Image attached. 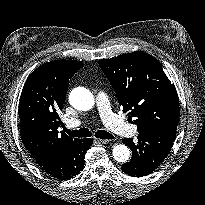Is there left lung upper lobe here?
Here are the masks:
<instances>
[{
    "instance_id": "obj_1",
    "label": "left lung upper lobe",
    "mask_w": 205,
    "mask_h": 205,
    "mask_svg": "<svg viewBox=\"0 0 205 205\" xmlns=\"http://www.w3.org/2000/svg\"><path fill=\"white\" fill-rule=\"evenodd\" d=\"M123 112L139 133L177 129L179 100L160 62L143 51L99 60Z\"/></svg>"
}]
</instances>
